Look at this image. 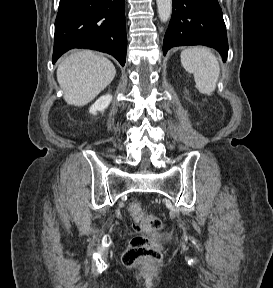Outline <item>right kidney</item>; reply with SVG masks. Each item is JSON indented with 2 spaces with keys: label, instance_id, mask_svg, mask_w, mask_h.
Returning <instances> with one entry per match:
<instances>
[{
  "label": "right kidney",
  "instance_id": "ca27d5eb",
  "mask_svg": "<svg viewBox=\"0 0 273 288\" xmlns=\"http://www.w3.org/2000/svg\"><path fill=\"white\" fill-rule=\"evenodd\" d=\"M112 96L110 94L101 96L96 102L90 107L89 112L96 114L97 112H103L110 104Z\"/></svg>",
  "mask_w": 273,
  "mask_h": 288
}]
</instances>
